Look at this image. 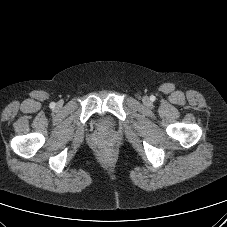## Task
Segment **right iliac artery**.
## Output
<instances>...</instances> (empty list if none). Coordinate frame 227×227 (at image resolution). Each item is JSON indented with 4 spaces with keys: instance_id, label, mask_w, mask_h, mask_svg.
<instances>
[{
    "instance_id": "1",
    "label": "right iliac artery",
    "mask_w": 227,
    "mask_h": 227,
    "mask_svg": "<svg viewBox=\"0 0 227 227\" xmlns=\"http://www.w3.org/2000/svg\"><path fill=\"white\" fill-rule=\"evenodd\" d=\"M54 106H55V104H54V103H51V104H50V107H51V108H53Z\"/></svg>"
}]
</instances>
